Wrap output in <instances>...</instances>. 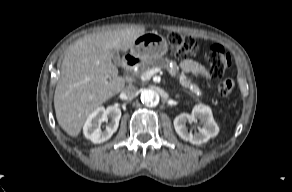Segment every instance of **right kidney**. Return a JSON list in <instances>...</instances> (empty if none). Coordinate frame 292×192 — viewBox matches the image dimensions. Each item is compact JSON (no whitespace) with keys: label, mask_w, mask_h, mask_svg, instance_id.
<instances>
[{"label":"right kidney","mask_w":292,"mask_h":192,"mask_svg":"<svg viewBox=\"0 0 292 192\" xmlns=\"http://www.w3.org/2000/svg\"><path fill=\"white\" fill-rule=\"evenodd\" d=\"M120 118L121 110L118 107L109 106L106 109L98 107L88 116L84 124L85 137L95 144L107 141L117 131ZM108 119L110 122L102 131L100 125L104 121L108 122Z\"/></svg>","instance_id":"ca27d5eb"}]
</instances>
